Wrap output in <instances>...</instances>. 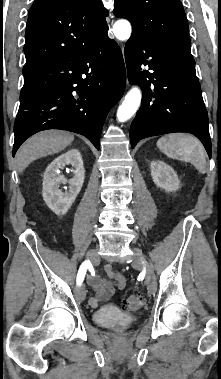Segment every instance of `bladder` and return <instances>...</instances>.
<instances>
[{
  "mask_svg": "<svg viewBox=\"0 0 221 379\" xmlns=\"http://www.w3.org/2000/svg\"><path fill=\"white\" fill-rule=\"evenodd\" d=\"M137 317L133 314L117 313L109 308H103L96 311L93 320L96 324L111 327H128L136 321Z\"/></svg>",
  "mask_w": 221,
  "mask_h": 379,
  "instance_id": "31cf9c89",
  "label": "bladder"
}]
</instances>
